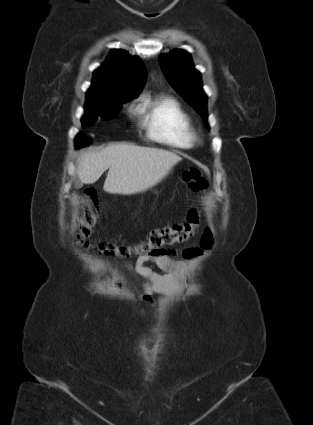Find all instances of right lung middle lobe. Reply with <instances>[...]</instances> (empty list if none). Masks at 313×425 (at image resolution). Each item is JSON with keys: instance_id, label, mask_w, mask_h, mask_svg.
Listing matches in <instances>:
<instances>
[{"instance_id": "1", "label": "right lung middle lobe", "mask_w": 313, "mask_h": 425, "mask_svg": "<svg viewBox=\"0 0 313 425\" xmlns=\"http://www.w3.org/2000/svg\"><path fill=\"white\" fill-rule=\"evenodd\" d=\"M130 99L132 98L128 96L112 95L99 100L86 102L85 114L81 120L82 125L86 127L91 125V123L96 121L98 118H110L116 115L122 109V104ZM89 144L90 143H88L81 134H79L75 139L76 148L88 146Z\"/></svg>"}]
</instances>
